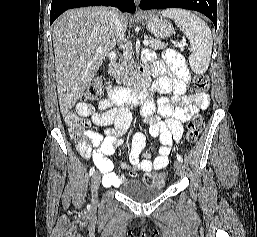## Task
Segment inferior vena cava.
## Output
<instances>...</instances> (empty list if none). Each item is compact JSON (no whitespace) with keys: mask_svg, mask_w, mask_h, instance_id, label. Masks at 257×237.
<instances>
[{"mask_svg":"<svg viewBox=\"0 0 257 237\" xmlns=\"http://www.w3.org/2000/svg\"><path fill=\"white\" fill-rule=\"evenodd\" d=\"M109 16H110L112 25L115 27V31L119 39L122 40L124 38V29H123V25H122L119 13L116 11L115 8H110Z\"/></svg>","mask_w":257,"mask_h":237,"instance_id":"602c4592","label":"inferior vena cava"}]
</instances>
